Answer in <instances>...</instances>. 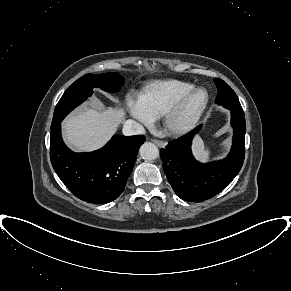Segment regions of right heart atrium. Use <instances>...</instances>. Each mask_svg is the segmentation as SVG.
I'll return each mask as SVG.
<instances>
[{"mask_svg": "<svg viewBox=\"0 0 291 291\" xmlns=\"http://www.w3.org/2000/svg\"><path fill=\"white\" fill-rule=\"evenodd\" d=\"M126 105L127 110L132 117L136 118L145 125H149L151 123L152 119L144 112L138 101L129 98L127 99Z\"/></svg>", "mask_w": 291, "mask_h": 291, "instance_id": "d8ad5b80", "label": "right heart atrium"}]
</instances>
